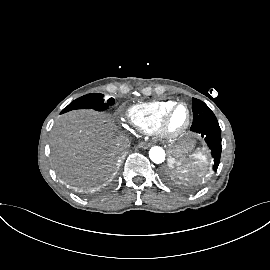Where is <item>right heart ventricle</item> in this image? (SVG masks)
<instances>
[{
  "label": "right heart ventricle",
  "instance_id": "right-heart-ventricle-1",
  "mask_svg": "<svg viewBox=\"0 0 270 270\" xmlns=\"http://www.w3.org/2000/svg\"><path fill=\"white\" fill-rule=\"evenodd\" d=\"M175 103L166 100L136 104L127 110L126 115L134 128L150 134L158 130L163 115Z\"/></svg>",
  "mask_w": 270,
  "mask_h": 270
}]
</instances>
